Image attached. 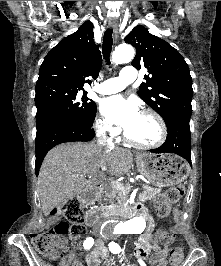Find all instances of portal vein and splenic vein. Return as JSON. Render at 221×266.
<instances>
[{"label": "portal vein and splenic vein", "instance_id": "obj_1", "mask_svg": "<svg viewBox=\"0 0 221 266\" xmlns=\"http://www.w3.org/2000/svg\"><path fill=\"white\" fill-rule=\"evenodd\" d=\"M106 169H107V168H106L105 166L101 167V171H102V172H103V171H106ZM74 177H78V175H74ZM111 184H112V186L118 188L119 190H121V191H123V192H125L126 189H127L123 184H121V183L118 182V181L112 180V179H111Z\"/></svg>", "mask_w": 221, "mask_h": 266}]
</instances>
